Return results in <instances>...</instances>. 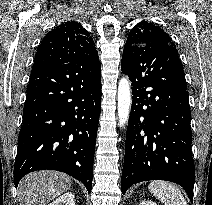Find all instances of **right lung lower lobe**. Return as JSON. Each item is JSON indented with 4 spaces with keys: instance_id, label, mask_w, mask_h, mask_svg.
<instances>
[{
    "instance_id": "obj_1",
    "label": "right lung lower lobe",
    "mask_w": 212,
    "mask_h": 205,
    "mask_svg": "<svg viewBox=\"0 0 212 205\" xmlns=\"http://www.w3.org/2000/svg\"><path fill=\"white\" fill-rule=\"evenodd\" d=\"M101 111L100 62L46 66L31 72L18 137L14 183L52 169L92 188Z\"/></svg>"
}]
</instances>
